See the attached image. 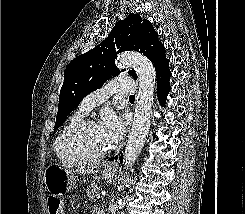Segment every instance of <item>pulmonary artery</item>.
Masks as SVG:
<instances>
[{
	"label": "pulmonary artery",
	"instance_id": "obj_1",
	"mask_svg": "<svg viewBox=\"0 0 245 214\" xmlns=\"http://www.w3.org/2000/svg\"><path fill=\"white\" fill-rule=\"evenodd\" d=\"M135 82L130 78L117 77L107 82L101 88L87 95L81 102L80 108L86 113L95 109L107 100L114 93L133 94L135 92Z\"/></svg>",
	"mask_w": 245,
	"mask_h": 214
}]
</instances>
